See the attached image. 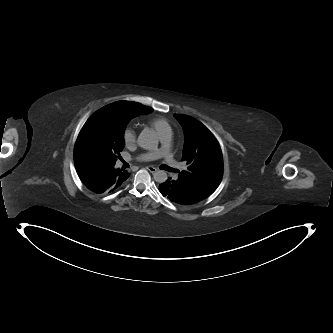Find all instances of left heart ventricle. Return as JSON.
<instances>
[{"label": "left heart ventricle", "mask_w": 333, "mask_h": 333, "mask_svg": "<svg viewBox=\"0 0 333 333\" xmlns=\"http://www.w3.org/2000/svg\"><path fill=\"white\" fill-rule=\"evenodd\" d=\"M150 150L153 151V153L156 155H159L162 153V148H161V146H158V145H154L153 147H151Z\"/></svg>", "instance_id": "1"}]
</instances>
